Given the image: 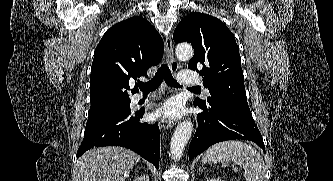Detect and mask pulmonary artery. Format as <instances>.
Segmentation results:
<instances>
[{
    "label": "pulmonary artery",
    "mask_w": 333,
    "mask_h": 181,
    "mask_svg": "<svg viewBox=\"0 0 333 181\" xmlns=\"http://www.w3.org/2000/svg\"><path fill=\"white\" fill-rule=\"evenodd\" d=\"M178 81L181 85L185 86L199 85L201 83L199 76L192 71L180 72L178 75ZM205 92L208 93V90L206 89ZM140 99L141 96L135 98L136 101Z\"/></svg>",
    "instance_id": "1"
}]
</instances>
